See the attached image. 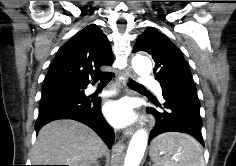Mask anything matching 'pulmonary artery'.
Masks as SVG:
<instances>
[{"mask_svg": "<svg viewBox=\"0 0 236 166\" xmlns=\"http://www.w3.org/2000/svg\"><path fill=\"white\" fill-rule=\"evenodd\" d=\"M141 82L145 86H152V87H154V90L157 93V95L162 97V89H161L159 83L156 80H154L151 77H144ZM90 91L91 92H95V89L91 88ZM101 94L104 95V96H107V95H109L111 93H109V92H102Z\"/></svg>", "mask_w": 236, "mask_h": 166, "instance_id": "1", "label": "pulmonary artery"}]
</instances>
